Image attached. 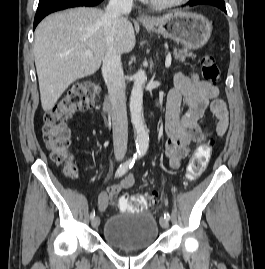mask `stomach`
Here are the masks:
<instances>
[{
	"label": "stomach",
	"mask_w": 265,
	"mask_h": 269,
	"mask_svg": "<svg viewBox=\"0 0 265 269\" xmlns=\"http://www.w3.org/2000/svg\"><path fill=\"white\" fill-rule=\"evenodd\" d=\"M144 26L192 50L203 47L212 32V24L203 15L184 11H173Z\"/></svg>",
	"instance_id": "obj_1"
}]
</instances>
